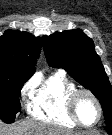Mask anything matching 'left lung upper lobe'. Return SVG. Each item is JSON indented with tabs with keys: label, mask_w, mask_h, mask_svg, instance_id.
Listing matches in <instances>:
<instances>
[{
	"label": "left lung upper lobe",
	"mask_w": 112,
	"mask_h": 135,
	"mask_svg": "<svg viewBox=\"0 0 112 135\" xmlns=\"http://www.w3.org/2000/svg\"><path fill=\"white\" fill-rule=\"evenodd\" d=\"M48 64L65 69L100 101L106 126H112V87L94 43L82 30L74 29L43 37Z\"/></svg>",
	"instance_id": "1"
}]
</instances>
